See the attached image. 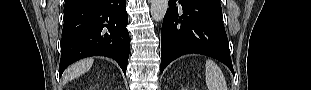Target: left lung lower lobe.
I'll list each match as a JSON object with an SVG mask.
<instances>
[{
    "mask_svg": "<svg viewBox=\"0 0 311 90\" xmlns=\"http://www.w3.org/2000/svg\"><path fill=\"white\" fill-rule=\"evenodd\" d=\"M169 0L161 30V72L185 54H202L224 63L234 74L220 4L211 0Z\"/></svg>",
    "mask_w": 311,
    "mask_h": 90,
    "instance_id": "obj_1",
    "label": "left lung lower lobe"
}]
</instances>
